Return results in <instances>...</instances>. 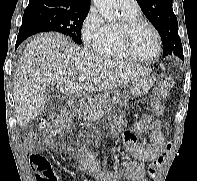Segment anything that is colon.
<instances>
[{
    "label": "colon",
    "mask_w": 197,
    "mask_h": 181,
    "mask_svg": "<svg viewBox=\"0 0 197 181\" xmlns=\"http://www.w3.org/2000/svg\"><path fill=\"white\" fill-rule=\"evenodd\" d=\"M171 89V77L168 74H162L158 77L155 87V98L153 108L157 114L163 112V102L168 96ZM146 121V120H145ZM69 124V116L67 114H59L51 116L45 120L44 129L51 134L62 133Z\"/></svg>",
    "instance_id": "1"
}]
</instances>
